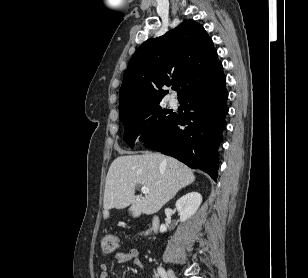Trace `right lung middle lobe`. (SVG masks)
Segmentation results:
<instances>
[{"mask_svg":"<svg viewBox=\"0 0 308 278\" xmlns=\"http://www.w3.org/2000/svg\"><path fill=\"white\" fill-rule=\"evenodd\" d=\"M174 116L162 108L160 103L137 109L121 118L125 126L123 138L130 147L134 146L137 137L147 141L166 128Z\"/></svg>","mask_w":308,"mask_h":278,"instance_id":"obj_1","label":"right lung middle lobe"}]
</instances>
